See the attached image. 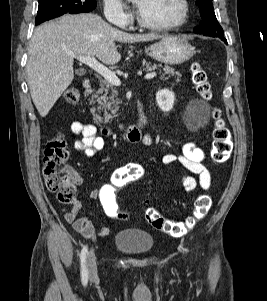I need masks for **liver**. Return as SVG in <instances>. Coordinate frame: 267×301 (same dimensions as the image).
Wrapping results in <instances>:
<instances>
[{
    "label": "liver",
    "instance_id": "obj_1",
    "mask_svg": "<svg viewBox=\"0 0 267 301\" xmlns=\"http://www.w3.org/2000/svg\"><path fill=\"white\" fill-rule=\"evenodd\" d=\"M155 34H128L96 14L64 15L36 28L26 66L28 86L34 105L45 117L74 79L73 57L96 56L107 65L121 59L115 41L135 43L153 41Z\"/></svg>",
    "mask_w": 267,
    "mask_h": 301
}]
</instances>
